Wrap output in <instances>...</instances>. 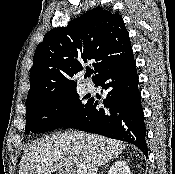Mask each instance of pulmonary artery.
Returning a JSON list of instances; mask_svg holds the SVG:
<instances>
[{"mask_svg": "<svg viewBox=\"0 0 175 174\" xmlns=\"http://www.w3.org/2000/svg\"><path fill=\"white\" fill-rule=\"evenodd\" d=\"M84 88L87 92H90L94 89V85L90 82H87V83L84 84Z\"/></svg>", "mask_w": 175, "mask_h": 174, "instance_id": "e3ab8cb5", "label": "pulmonary artery"}]
</instances>
